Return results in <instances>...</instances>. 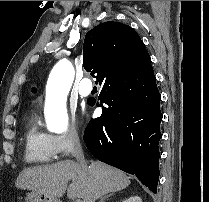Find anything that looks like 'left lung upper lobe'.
<instances>
[{
	"mask_svg": "<svg viewBox=\"0 0 209 202\" xmlns=\"http://www.w3.org/2000/svg\"><path fill=\"white\" fill-rule=\"evenodd\" d=\"M32 92H36V89H35V88H33V89H32Z\"/></svg>",
	"mask_w": 209,
	"mask_h": 202,
	"instance_id": "obj_1",
	"label": "left lung upper lobe"
}]
</instances>
